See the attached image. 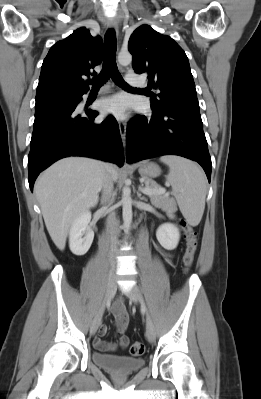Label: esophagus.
<instances>
[{"instance_id":"obj_1","label":"esophagus","mask_w":261,"mask_h":399,"mask_svg":"<svg viewBox=\"0 0 261 399\" xmlns=\"http://www.w3.org/2000/svg\"><path fill=\"white\" fill-rule=\"evenodd\" d=\"M108 26L109 28L115 30L116 32H118V24L115 18H111L108 22ZM118 126H119V131H120V135L122 138V141L125 142V138H126V123L124 120H118Z\"/></svg>"}]
</instances>
